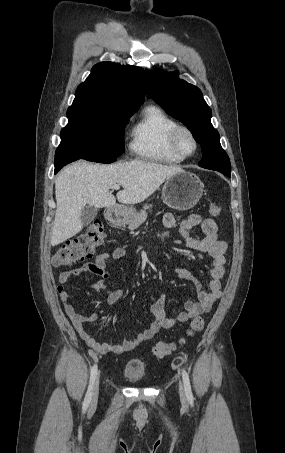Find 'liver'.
<instances>
[{"mask_svg":"<svg viewBox=\"0 0 285 453\" xmlns=\"http://www.w3.org/2000/svg\"><path fill=\"white\" fill-rule=\"evenodd\" d=\"M183 171L143 160L104 165L78 161L62 170L55 180L56 213L51 245L57 246L78 234L82 228L81 212L86 204L96 208L137 204L152 195L171 175ZM123 190L116 198L109 192L112 185Z\"/></svg>","mask_w":285,"mask_h":453,"instance_id":"obj_1","label":"liver"}]
</instances>
